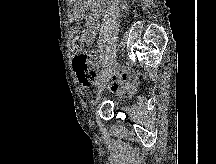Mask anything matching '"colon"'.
Masks as SVG:
<instances>
[{
	"instance_id": "colon-1",
	"label": "colon",
	"mask_w": 216,
	"mask_h": 164,
	"mask_svg": "<svg viewBox=\"0 0 216 164\" xmlns=\"http://www.w3.org/2000/svg\"><path fill=\"white\" fill-rule=\"evenodd\" d=\"M92 27L91 22H87L85 33ZM84 36H75L72 41V51L76 54L74 66L80 82L85 87H91L98 80V70L94 62L93 55L83 52Z\"/></svg>"
}]
</instances>
